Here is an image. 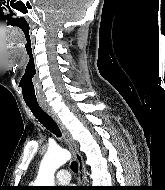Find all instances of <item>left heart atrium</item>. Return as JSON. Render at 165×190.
<instances>
[{
	"label": "left heart atrium",
	"mask_w": 165,
	"mask_h": 190,
	"mask_svg": "<svg viewBox=\"0 0 165 190\" xmlns=\"http://www.w3.org/2000/svg\"><path fill=\"white\" fill-rule=\"evenodd\" d=\"M65 190H73V189L69 187V188H67V189H65Z\"/></svg>",
	"instance_id": "1"
}]
</instances>
